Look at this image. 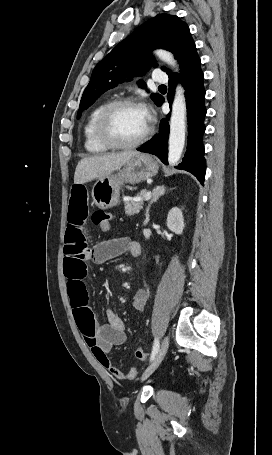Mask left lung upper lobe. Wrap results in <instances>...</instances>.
Instances as JSON below:
<instances>
[{
  "label": "left lung upper lobe",
  "instance_id": "left-lung-upper-lobe-1",
  "mask_svg": "<svg viewBox=\"0 0 272 455\" xmlns=\"http://www.w3.org/2000/svg\"><path fill=\"white\" fill-rule=\"evenodd\" d=\"M155 48H164L172 52L180 63L181 70L198 58L187 24L175 15H157L121 41L96 65L81 98L77 118H80L82 112L108 89L128 77L144 74L152 65L157 66L151 57V50ZM162 70L169 75L173 74L165 67H162ZM138 85L146 88L142 80L138 81ZM151 97L156 104L162 98L161 95L154 93Z\"/></svg>",
  "mask_w": 272,
  "mask_h": 455
}]
</instances>
